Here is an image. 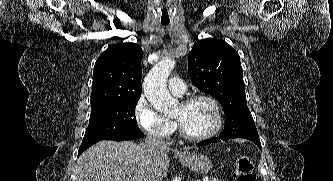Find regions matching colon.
<instances>
[{"label": "colon", "instance_id": "1", "mask_svg": "<svg viewBox=\"0 0 333 181\" xmlns=\"http://www.w3.org/2000/svg\"><path fill=\"white\" fill-rule=\"evenodd\" d=\"M237 181H256L252 160L248 156H238L235 159Z\"/></svg>", "mask_w": 333, "mask_h": 181}]
</instances>
